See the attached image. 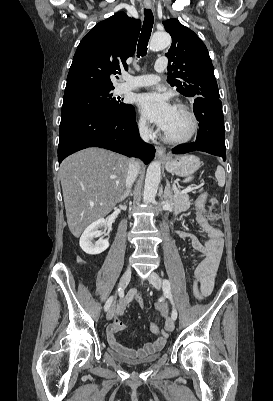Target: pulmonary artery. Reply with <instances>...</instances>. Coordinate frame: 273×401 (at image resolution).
I'll return each mask as SVG.
<instances>
[{"label":"pulmonary artery","instance_id":"obj_1","mask_svg":"<svg viewBox=\"0 0 273 401\" xmlns=\"http://www.w3.org/2000/svg\"><path fill=\"white\" fill-rule=\"evenodd\" d=\"M156 63L158 65V71L163 72L167 69V60L165 57H158ZM159 80H161V77H159L157 74H138L136 76V80H131L130 82L128 80H122L120 81L119 86L123 89V91L147 89L149 83H157Z\"/></svg>","mask_w":273,"mask_h":401}]
</instances>
